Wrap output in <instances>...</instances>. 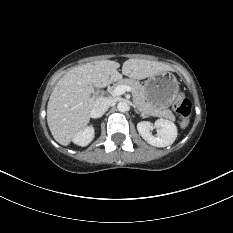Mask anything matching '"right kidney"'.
<instances>
[{"mask_svg": "<svg viewBox=\"0 0 233 233\" xmlns=\"http://www.w3.org/2000/svg\"><path fill=\"white\" fill-rule=\"evenodd\" d=\"M94 134V128L88 126L76 133L73 142L82 147L87 146L93 140Z\"/></svg>", "mask_w": 233, "mask_h": 233, "instance_id": "ca27d5eb", "label": "right kidney"}]
</instances>
